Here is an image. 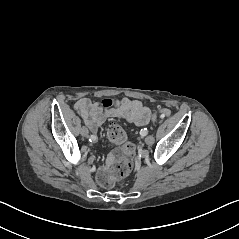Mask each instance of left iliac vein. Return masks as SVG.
<instances>
[{
	"label": "left iliac vein",
	"mask_w": 239,
	"mask_h": 239,
	"mask_svg": "<svg viewBox=\"0 0 239 239\" xmlns=\"http://www.w3.org/2000/svg\"><path fill=\"white\" fill-rule=\"evenodd\" d=\"M154 141H155V138H154L153 136H147V137L145 138V143H146L147 145H152V144L154 143Z\"/></svg>",
	"instance_id": "obj_1"
}]
</instances>
